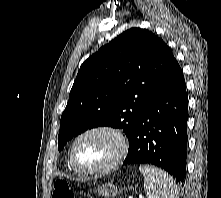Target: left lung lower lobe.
<instances>
[{
	"label": "left lung lower lobe",
	"instance_id": "0a47b994",
	"mask_svg": "<svg viewBox=\"0 0 221 198\" xmlns=\"http://www.w3.org/2000/svg\"><path fill=\"white\" fill-rule=\"evenodd\" d=\"M187 120L186 84L174 58L164 81L140 114L123 164H153L182 181L186 171Z\"/></svg>",
	"mask_w": 221,
	"mask_h": 198
}]
</instances>
